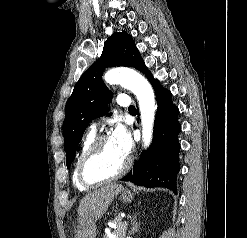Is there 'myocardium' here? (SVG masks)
Segmentation results:
<instances>
[{"instance_id":"obj_1","label":"myocardium","mask_w":247,"mask_h":238,"mask_svg":"<svg viewBox=\"0 0 247 238\" xmlns=\"http://www.w3.org/2000/svg\"><path fill=\"white\" fill-rule=\"evenodd\" d=\"M110 137L107 135H101L93 140V142L90 144V146L87 148V150L82 155L78 168H77V175L79 181L87 186V187H94L101 184H105L111 181H114L120 177H122L130 168L131 166V159L130 157H126L125 163L122 166V168L115 174L111 176L106 177H100V178H91L87 174V166L89 162L94 158V156L98 153L101 146L109 140Z\"/></svg>"}]
</instances>
